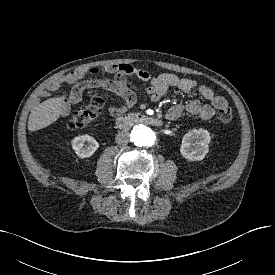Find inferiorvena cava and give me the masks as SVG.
<instances>
[{
	"label": "inferior vena cava",
	"instance_id": "obj_1",
	"mask_svg": "<svg viewBox=\"0 0 275 275\" xmlns=\"http://www.w3.org/2000/svg\"><path fill=\"white\" fill-rule=\"evenodd\" d=\"M115 141L119 145H125L129 142V133L128 132H120L117 134Z\"/></svg>",
	"mask_w": 275,
	"mask_h": 275
}]
</instances>
